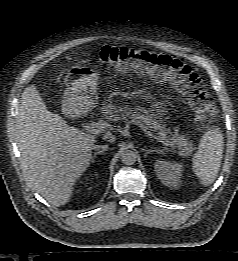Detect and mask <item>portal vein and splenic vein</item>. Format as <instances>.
<instances>
[{"label":"portal vein and splenic vein","mask_w":238,"mask_h":261,"mask_svg":"<svg viewBox=\"0 0 238 261\" xmlns=\"http://www.w3.org/2000/svg\"><path fill=\"white\" fill-rule=\"evenodd\" d=\"M148 137L151 139L156 140L157 142L162 143L165 146L173 147L174 144L168 140L161 139L156 137L149 129H147L144 125L142 124H136ZM109 126L108 123L106 122H92L88 125H86V129L92 133V134H100L105 131V129Z\"/></svg>","instance_id":"1"}]
</instances>
